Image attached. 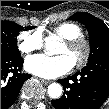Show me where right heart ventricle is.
<instances>
[{"mask_svg":"<svg viewBox=\"0 0 109 109\" xmlns=\"http://www.w3.org/2000/svg\"><path fill=\"white\" fill-rule=\"evenodd\" d=\"M51 32L59 35L63 39L82 35V28L74 22H63L51 27Z\"/></svg>","mask_w":109,"mask_h":109,"instance_id":"right-heart-ventricle-1","label":"right heart ventricle"}]
</instances>
